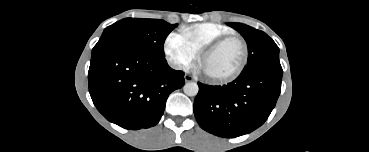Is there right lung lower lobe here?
<instances>
[{"mask_svg":"<svg viewBox=\"0 0 369 152\" xmlns=\"http://www.w3.org/2000/svg\"><path fill=\"white\" fill-rule=\"evenodd\" d=\"M88 81L99 112L130 130L156 125L169 94L185 83L184 72L170 68L166 59L127 48L92 56Z\"/></svg>","mask_w":369,"mask_h":152,"instance_id":"right-lung-lower-lobe-1","label":"right lung lower lobe"}]
</instances>
